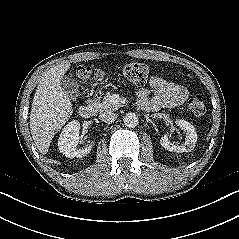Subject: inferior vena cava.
Segmentation results:
<instances>
[{"instance_id": "1", "label": "inferior vena cava", "mask_w": 239, "mask_h": 239, "mask_svg": "<svg viewBox=\"0 0 239 239\" xmlns=\"http://www.w3.org/2000/svg\"><path fill=\"white\" fill-rule=\"evenodd\" d=\"M99 119L105 123H112L117 119V114L113 112H104L99 116Z\"/></svg>"}]
</instances>
